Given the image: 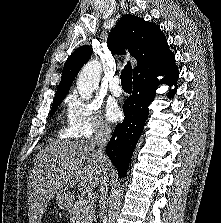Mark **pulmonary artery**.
<instances>
[{
    "label": "pulmonary artery",
    "instance_id": "pulmonary-artery-1",
    "mask_svg": "<svg viewBox=\"0 0 221 223\" xmlns=\"http://www.w3.org/2000/svg\"><path fill=\"white\" fill-rule=\"evenodd\" d=\"M121 79L119 76H114L109 81V89L111 93L115 96H120L122 94V88L120 86Z\"/></svg>",
    "mask_w": 221,
    "mask_h": 223
}]
</instances>
